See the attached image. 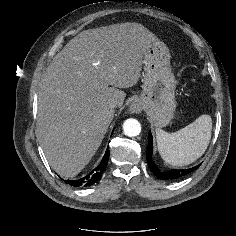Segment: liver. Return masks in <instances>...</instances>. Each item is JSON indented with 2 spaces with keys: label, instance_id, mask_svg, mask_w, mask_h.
Instances as JSON below:
<instances>
[{
  "label": "liver",
  "instance_id": "6515ba94",
  "mask_svg": "<svg viewBox=\"0 0 236 236\" xmlns=\"http://www.w3.org/2000/svg\"><path fill=\"white\" fill-rule=\"evenodd\" d=\"M159 39L138 23L85 30L70 40L43 74L38 138L50 166L72 178L89 163L134 86L143 57ZM120 88V89H119Z\"/></svg>",
  "mask_w": 236,
  "mask_h": 236
}]
</instances>
